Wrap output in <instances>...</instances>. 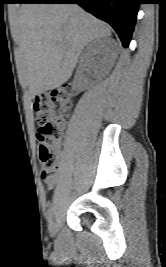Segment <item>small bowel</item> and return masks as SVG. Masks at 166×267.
Here are the masks:
<instances>
[{
    "instance_id": "small-bowel-1",
    "label": "small bowel",
    "mask_w": 166,
    "mask_h": 267,
    "mask_svg": "<svg viewBox=\"0 0 166 267\" xmlns=\"http://www.w3.org/2000/svg\"><path fill=\"white\" fill-rule=\"evenodd\" d=\"M46 183H47V185H48L50 188H52V187L54 186V184H55V178L52 179V180L49 181V182H46Z\"/></svg>"
}]
</instances>
